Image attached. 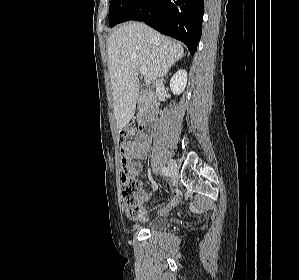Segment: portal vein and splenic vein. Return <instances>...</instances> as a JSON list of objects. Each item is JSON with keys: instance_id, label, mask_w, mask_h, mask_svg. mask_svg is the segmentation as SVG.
<instances>
[{"instance_id": "obj_1", "label": "portal vein and splenic vein", "mask_w": 299, "mask_h": 280, "mask_svg": "<svg viewBox=\"0 0 299 280\" xmlns=\"http://www.w3.org/2000/svg\"><path fill=\"white\" fill-rule=\"evenodd\" d=\"M139 71L142 75H147L148 74V69L146 67H140Z\"/></svg>"}]
</instances>
